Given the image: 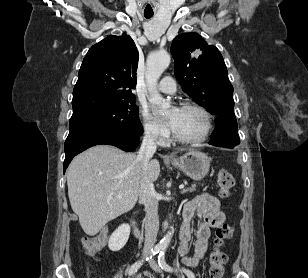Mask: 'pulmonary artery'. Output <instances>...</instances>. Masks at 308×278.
<instances>
[{
    "label": "pulmonary artery",
    "instance_id": "1",
    "mask_svg": "<svg viewBox=\"0 0 308 278\" xmlns=\"http://www.w3.org/2000/svg\"><path fill=\"white\" fill-rule=\"evenodd\" d=\"M157 88L163 93L173 94L176 91V84L171 77L167 76L160 81Z\"/></svg>",
    "mask_w": 308,
    "mask_h": 278
}]
</instances>
